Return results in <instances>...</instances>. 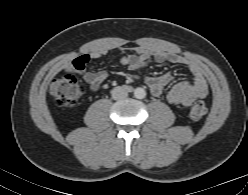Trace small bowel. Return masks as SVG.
Returning a JSON list of instances; mask_svg holds the SVG:
<instances>
[{"label":"small bowel","instance_id":"1","mask_svg":"<svg viewBox=\"0 0 248 195\" xmlns=\"http://www.w3.org/2000/svg\"><path fill=\"white\" fill-rule=\"evenodd\" d=\"M106 51H96L88 55L78 57L65 67L67 72H76L82 75L91 91L97 92L107 78L105 71H87L86 63L90 59L100 58ZM121 62L130 70L142 71L151 61L170 62L174 64H186L193 75V81H180L168 92L167 99L173 105L190 106L196 99L204 98L208 94V85L203 69L196 62H188L183 57L160 49L139 47L129 51H121ZM173 79L171 74L159 77L144 76V81L153 96L159 97L166 84Z\"/></svg>","mask_w":248,"mask_h":195}]
</instances>
